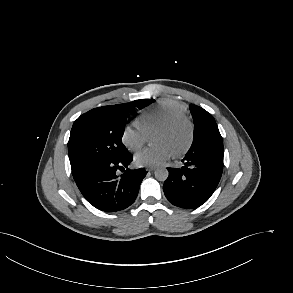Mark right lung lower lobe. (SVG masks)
<instances>
[{
	"label": "right lung lower lobe",
	"instance_id": "1",
	"mask_svg": "<svg viewBox=\"0 0 293 293\" xmlns=\"http://www.w3.org/2000/svg\"><path fill=\"white\" fill-rule=\"evenodd\" d=\"M132 160L129 152L121 158L94 165L74 180L85 199L97 209L106 212L123 210L135 201L147 173L143 168L127 169L118 176L117 170H124Z\"/></svg>",
	"mask_w": 293,
	"mask_h": 293
}]
</instances>
